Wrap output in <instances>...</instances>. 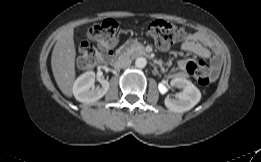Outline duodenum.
<instances>
[{
  "instance_id": "410a0bca",
  "label": "duodenum",
  "mask_w": 261,
  "mask_h": 162,
  "mask_svg": "<svg viewBox=\"0 0 261 162\" xmlns=\"http://www.w3.org/2000/svg\"><path fill=\"white\" fill-rule=\"evenodd\" d=\"M130 53L132 55L141 56L148 58L149 54L145 49L134 47L130 48ZM104 65L108 66H116L119 63V54H115L114 52H108L103 57Z\"/></svg>"
}]
</instances>
